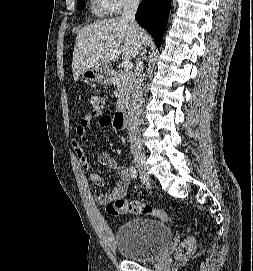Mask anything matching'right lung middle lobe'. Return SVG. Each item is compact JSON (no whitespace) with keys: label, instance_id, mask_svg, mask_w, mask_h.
Masks as SVG:
<instances>
[{"label":"right lung middle lobe","instance_id":"1","mask_svg":"<svg viewBox=\"0 0 253 271\" xmlns=\"http://www.w3.org/2000/svg\"><path fill=\"white\" fill-rule=\"evenodd\" d=\"M78 1V9H82L85 7V0H77Z\"/></svg>","mask_w":253,"mask_h":271}]
</instances>
